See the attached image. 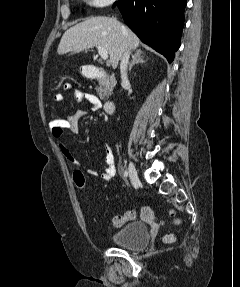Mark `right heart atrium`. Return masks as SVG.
Returning <instances> with one entry per match:
<instances>
[{
  "label": "right heart atrium",
  "mask_w": 240,
  "mask_h": 287,
  "mask_svg": "<svg viewBox=\"0 0 240 287\" xmlns=\"http://www.w3.org/2000/svg\"><path fill=\"white\" fill-rule=\"evenodd\" d=\"M90 6L96 8L106 7L112 4L115 0H85Z\"/></svg>",
  "instance_id": "right-heart-atrium-1"
}]
</instances>
